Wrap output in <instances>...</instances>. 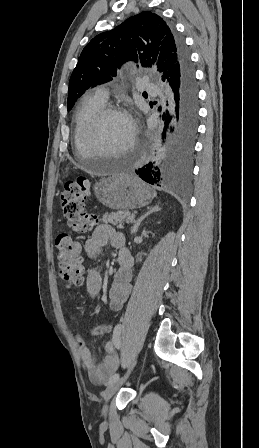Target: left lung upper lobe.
<instances>
[{
	"instance_id": "1",
	"label": "left lung upper lobe",
	"mask_w": 259,
	"mask_h": 448,
	"mask_svg": "<svg viewBox=\"0 0 259 448\" xmlns=\"http://www.w3.org/2000/svg\"><path fill=\"white\" fill-rule=\"evenodd\" d=\"M181 47L172 29L157 14L144 11L109 32L95 36L83 49L69 81L67 108L87 89L112 80L127 61L164 72L179 59Z\"/></svg>"
}]
</instances>
